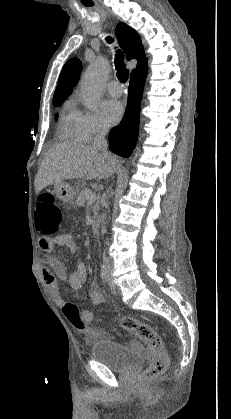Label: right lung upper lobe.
Instances as JSON below:
<instances>
[{
	"label": "right lung upper lobe",
	"instance_id": "obj_1",
	"mask_svg": "<svg viewBox=\"0 0 231 419\" xmlns=\"http://www.w3.org/2000/svg\"><path fill=\"white\" fill-rule=\"evenodd\" d=\"M116 35L121 47L127 54V59L138 60V64L132 72L144 66L147 63V58H145L138 33L125 23H119L116 27ZM81 70L82 63L78 58H72L63 66L53 100L65 99L72 92Z\"/></svg>",
	"mask_w": 231,
	"mask_h": 419
}]
</instances>
